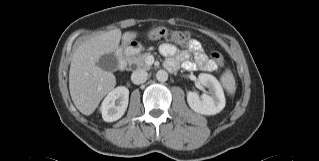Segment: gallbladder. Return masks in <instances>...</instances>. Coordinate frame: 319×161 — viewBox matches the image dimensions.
<instances>
[{"instance_id": "1", "label": "gallbladder", "mask_w": 319, "mask_h": 161, "mask_svg": "<svg viewBox=\"0 0 319 161\" xmlns=\"http://www.w3.org/2000/svg\"><path fill=\"white\" fill-rule=\"evenodd\" d=\"M97 66L108 72L115 71L118 67V59L114 53L104 54L99 58Z\"/></svg>"}]
</instances>
